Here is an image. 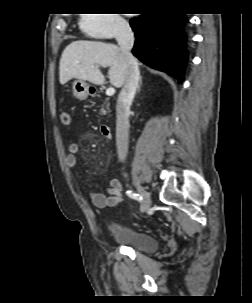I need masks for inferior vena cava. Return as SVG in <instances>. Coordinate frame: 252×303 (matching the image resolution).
I'll list each match as a JSON object with an SVG mask.
<instances>
[{
    "label": "inferior vena cava",
    "instance_id": "602c4592",
    "mask_svg": "<svg viewBox=\"0 0 252 303\" xmlns=\"http://www.w3.org/2000/svg\"><path fill=\"white\" fill-rule=\"evenodd\" d=\"M116 40L120 46L126 77L123 88L118 96L116 105V146L120 161H124L128 152L129 112L134 99L140 73L137 60L131 54L134 45V34L127 22H119L116 31Z\"/></svg>",
    "mask_w": 252,
    "mask_h": 303
}]
</instances>
